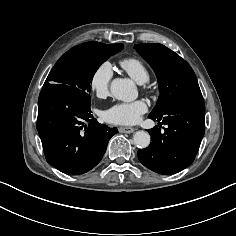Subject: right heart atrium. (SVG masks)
I'll return each instance as SVG.
<instances>
[{
    "mask_svg": "<svg viewBox=\"0 0 236 236\" xmlns=\"http://www.w3.org/2000/svg\"><path fill=\"white\" fill-rule=\"evenodd\" d=\"M112 74V67L108 62L99 64L92 72L89 87L97 97L102 98L108 94Z\"/></svg>",
    "mask_w": 236,
    "mask_h": 236,
    "instance_id": "d8ad5b80",
    "label": "right heart atrium"
}]
</instances>
